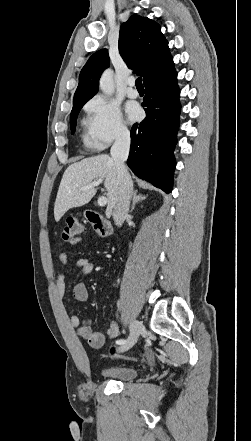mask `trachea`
<instances>
[{"label":"trachea","mask_w":251,"mask_h":441,"mask_svg":"<svg viewBox=\"0 0 251 441\" xmlns=\"http://www.w3.org/2000/svg\"><path fill=\"white\" fill-rule=\"evenodd\" d=\"M136 87H137V88H142V87H143V84H142V78H141V77H138V78L136 79Z\"/></svg>","instance_id":"1"}]
</instances>
